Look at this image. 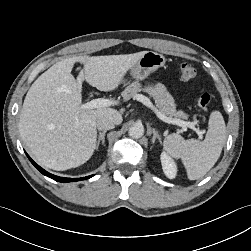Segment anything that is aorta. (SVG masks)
Returning a JSON list of instances; mask_svg holds the SVG:
<instances>
[{
	"instance_id": "762f6f07",
	"label": "aorta",
	"mask_w": 251,
	"mask_h": 251,
	"mask_svg": "<svg viewBox=\"0 0 251 251\" xmlns=\"http://www.w3.org/2000/svg\"><path fill=\"white\" fill-rule=\"evenodd\" d=\"M129 136L134 138V139H138L141 138L144 134V127L142 124H134L133 126L130 127L129 129Z\"/></svg>"
}]
</instances>
